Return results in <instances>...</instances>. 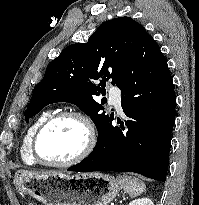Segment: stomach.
<instances>
[{
	"mask_svg": "<svg viewBox=\"0 0 199 205\" xmlns=\"http://www.w3.org/2000/svg\"><path fill=\"white\" fill-rule=\"evenodd\" d=\"M14 184L44 205H107L120 191L119 181L101 172L31 175L19 171Z\"/></svg>",
	"mask_w": 199,
	"mask_h": 205,
	"instance_id": "1",
	"label": "stomach"
}]
</instances>
